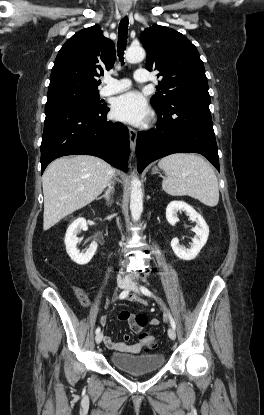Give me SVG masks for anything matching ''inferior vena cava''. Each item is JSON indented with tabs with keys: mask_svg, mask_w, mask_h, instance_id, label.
<instances>
[{
	"mask_svg": "<svg viewBox=\"0 0 264 415\" xmlns=\"http://www.w3.org/2000/svg\"><path fill=\"white\" fill-rule=\"evenodd\" d=\"M111 175H113V170L111 169ZM123 273V272H122Z\"/></svg>",
	"mask_w": 264,
	"mask_h": 415,
	"instance_id": "602c4592",
	"label": "inferior vena cava"
}]
</instances>
